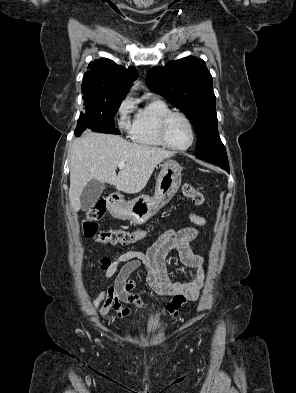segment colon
<instances>
[{
    "mask_svg": "<svg viewBox=\"0 0 296 393\" xmlns=\"http://www.w3.org/2000/svg\"><path fill=\"white\" fill-rule=\"evenodd\" d=\"M183 194L195 205L204 203V196L193 185L185 183L182 186ZM106 213V201L99 200L88 212L83 220L82 229L87 238L94 239L100 244L127 245L142 239L145 233L142 231H128L123 229L99 230L98 221Z\"/></svg>",
    "mask_w": 296,
    "mask_h": 393,
    "instance_id": "5ec220e1",
    "label": "colon"
}]
</instances>
